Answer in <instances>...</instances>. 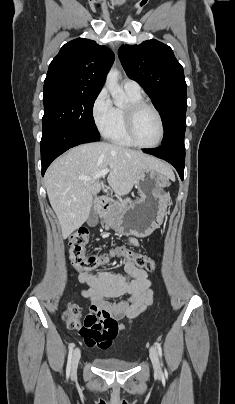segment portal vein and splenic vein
I'll use <instances>...</instances> for the list:
<instances>
[{
    "mask_svg": "<svg viewBox=\"0 0 235 404\" xmlns=\"http://www.w3.org/2000/svg\"><path fill=\"white\" fill-rule=\"evenodd\" d=\"M110 172V169L106 168L101 170L99 173H97L93 178H88V177H80L81 180L84 181H90L92 179H99L101 177H105V175H107Z\"/></svg>",
    "mask_w": 235,
    "mask_h": 404,
    "instance_id": "portal-vein-and-splenic-vein-1",
    "label": "portal vein and splenic vein"
}]
</instances>
